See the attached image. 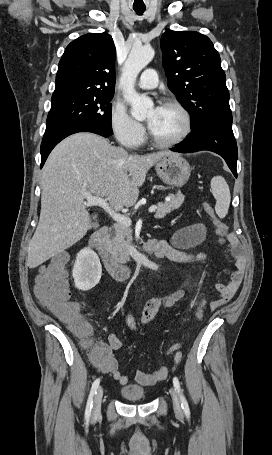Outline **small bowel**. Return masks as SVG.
<instances>
[{
	"mask_svg": "<svg viewBox=\"0 0 272 455\" xmlns=\"http://www.w3.org/2000/svg\"><path fill=\"white\" fill-rule=\"evenodd\" d=\"M205 237L206 228L204 225H190L176 232L171 241L152 240L151 242L154 245L153 253L159 258H167L179 263L203 262L206 259L205 253H192L189 250L202 243ZM227 240L234 259L235 270L231 273L229 282L217 283L215 285L220 298L211 303L212 310L226 304L235 295L240 287L246 269V258L236 235L233 233L229 234ZM184 296L185 290L178 289L150 298L145 306L143 323H148L159 310L175 306ZM126 323L131 329L134 330L136 328L131 315L126 317ZM100 346L103 348L104 355L102 359L94 360L97 367L102 372L111 373L121 385L128 384L129 379L120 371L118 361L113 353L122 347L120 338L116 334L111 333L108 336V343L101 344ZM181 357V352L175 354V366L179 364ZM167 374L168 370L166 367H160L153 372L138 370L135 374V380L141 385L150 386L164 380Z\"/></svg>",
	"mask_w": 272,
	"mask_h": 455,
	"instance_id": "1",
	"label": "small bowel"
}]
</instances>
